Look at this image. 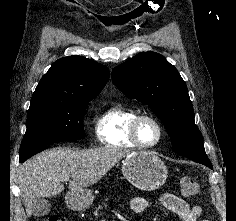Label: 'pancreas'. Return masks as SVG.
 <instances>
[{
	"instance_id": "obj_1",
	"label": "pancreas",
	"mask_w": 236,
	"mask_h": 221,
	"mask_svg": "<svg viewBox=\"0 0 236 221\" xmlns=\"http://www.w3.org/2000/svg\"><path fill=\"white\" fill-rule=\"evenodd\" d=\"M108 200H109V198H106V199H105V201H108ZM106 206H107L106 202H103L101 205H99V206L96 208L95 214L97 215V214L103 209V207H106Z\"/></svg>"
}]
</instances>
